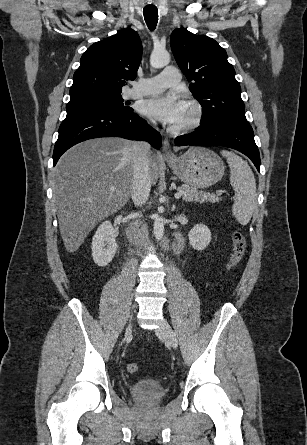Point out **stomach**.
Returning <instances> with one entry per match:
<instances>
[{"label": "stomach", "instance_id": "obj_1", "mask_svg": "<svg viewBox=\"0 0 307 445\" xmlns=\"http://www.w3.org/2000/svg\"><path fill=\"white\" fill-rule=\"evenodd\" d=\"M167 162L180 180L195 188L216 184L225 170L222 158L204 146L189 148L182 156H176L173 162Z\"/></svg>", "mask_w": 307, "mask_h": 445}]
</instances>
